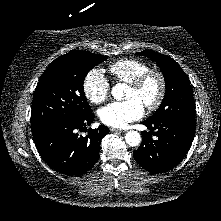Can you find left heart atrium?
I'll return each mask as SVG.
<instances>
[{
  "label": "left heart atrium",
  "mask_w": 221,
  "mask_h": 221,
  "mask_svg": "<svg viewBox=\"0 0 221 221\" xmlns=\"http://www.w3.org/2000/svg\"><path fill=\"white\" fill-rule=\"evenodd\" d=\"M144 114L143 104L136 98L122 102H112L99 110L102 123L115 128H124L140 119Z\"/></svg>",
  "instance_id": "39dd6f15"
}]
</instances>
